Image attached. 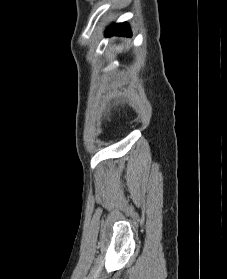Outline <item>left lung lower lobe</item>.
<instances>
[{
	"label": "left lung lower lobe",
	"mask_w": 227,
	"mask_h": 279,
	"mask_svg": "<svg viewBox=\"0 0 227 279\" xmlns=\"http://www.w3.org/2000/svg\"><path fill=\"white\" fill-rule=\"evenodd\" d=\"M111 35H125V36H131L130 28L127 23H119V24H113L112 26L108 27V29L105 32V36H111Z\"/></svg>",
	"instance_id": "1"
}]
</instances>
